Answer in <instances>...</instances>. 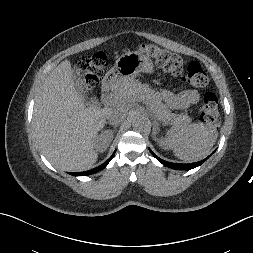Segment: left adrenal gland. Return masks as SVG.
I'll list each match as a JSON object with an SVG mask.
<instances>
[{"label": "left adrenal gland", "instance_id": "1", "mask_svg": "<svg viewBox=\"0 0 253 253\" xmlns=\"http://www.w3.org/2000/svg\"><path fill=\"white\" fill-rule=\"evenodd\" d=\"M154 123H155V125H154V128H153V138H154V140H156V134H157V131H158V129H159V123L155 120L154 121Z\"/></svg>", "mask_w": 253, "mask_h": 253}]
</instances>
